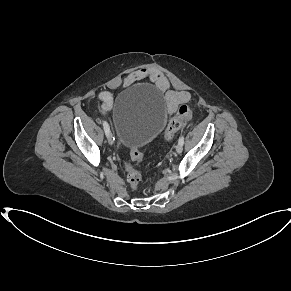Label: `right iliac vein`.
<instances>
[{"mask_svg": "<svg viewBox=\"0 0 291 291\" xmlns=\"http://www.w3.org/2000/svg\"><path fill=\"white\" fill-rule=\"evenodd\" d=\"M107 139H108V142H109L110 144H113V143H114L113 135H112L111 132H109V133L107 134Z\"/></svg>", "mask_w": 291, "mask_h": 291, "instance_id": "1", "label": "right iliac vein"}]
</instances>
